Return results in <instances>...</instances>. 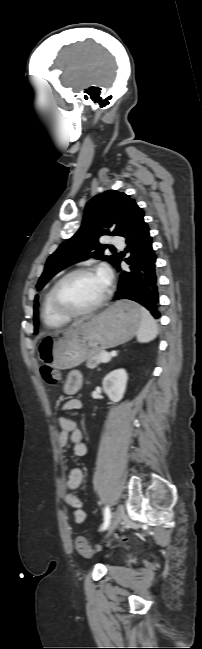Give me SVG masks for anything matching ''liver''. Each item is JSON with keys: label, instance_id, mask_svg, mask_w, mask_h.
<instances>
[{"label": "liver", "instance_id": "6515ba94", "mask_svg": "<svg viewBox=\"0 0 202 649\" xmlns=\"http://www.w3.org/2000/svg\"><path fill=\"white\" fill-rule=\"evenodd\" d=\"M84 320H85V319H81V320L75 321V322L71 325V327H75V326L80 325Z\"/></svg>", "mask_w": 202, "mask_h": 649}]
</instances>
